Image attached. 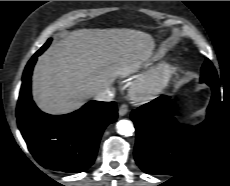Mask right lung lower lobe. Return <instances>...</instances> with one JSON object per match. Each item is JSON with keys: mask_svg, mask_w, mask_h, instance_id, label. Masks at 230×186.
Listing matches in <instances>:
<instances>
[{"mask_svg": "<svg viewBox=\"0 0 230 186\" xmlns=\"http://www.w3.org/2000/svg\"><path fill=\"white\" fill-rule=\"evenodd\" d=\"M38 52L25 67L16 116L29 151L47 169L79 173L96 157L105 127L117 118L115 102L91 101L79 110L53 116L40 111L31 96V75Z\"/></svg>", "mask_w": 230, "mask_h": 186, "instance_id": "right-lung-lower-lobe-1", "label": "right lung lower lobe"}]
</instances>
